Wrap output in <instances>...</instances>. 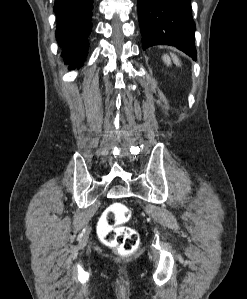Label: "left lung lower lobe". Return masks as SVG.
<instances>
[{
	"label": "left lung lower lobe",
	"instance_id": "1",
	"mask_svg": "<svg viewBox=\"0 0 247 299\" xmlns=\"http://www.w3.org/2000/svg\"><path fill=\"white\" fill-rule=\"evenodd\" d=\"M137 4L144 50L170 45L196 60L190 0H138Z\"/></svg>",
	"mask_w": 247,
	"mask_h": 299
}]
</instances>
